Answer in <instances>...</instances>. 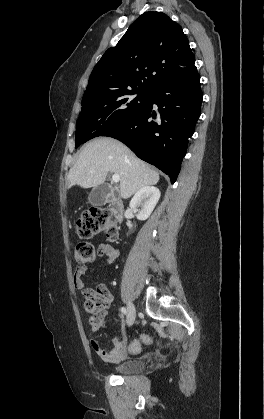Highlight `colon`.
<instances>
[{
    "mask_svg": "<svg viewBox=\"0 0 264 419\" xmlns=\"http://www.w3.org/2000/svg\"><path fill=\"white\" fill-rule=\"evenodd\" d=\"M76 231L81 240L76 244L74 249V260L79 264H89L94 260L95 252L93 245L88 241L91 237L98 233H106L109 240L115 241L118 238V227L113 220L110 212L102 208L91 209L82 214L76 221ZM99 308V302L93 297H86L85 309L89 313H95ZM90 325L96 324V318H90ZM151 342V337L141 335L131 343L134 351Z\"/></svg>",
    "mask_w": 264,
    "mask_h": 419,
    "instance_id": "colon-1",
    "label": "colon"
}]
</instances>
